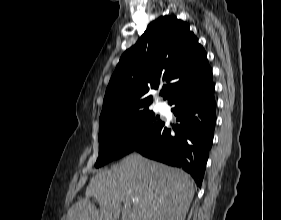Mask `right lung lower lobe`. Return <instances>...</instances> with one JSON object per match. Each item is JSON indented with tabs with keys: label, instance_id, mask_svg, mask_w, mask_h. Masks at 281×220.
Listing matches in <instances>:
<instances>
[{
	"label": "right lung lower lobe",
	"instance_id": "right-lung-lower-lobe-1",
	"mask_svg": "<svg viewBox=\"0 0 281 220\" xmlns=\"http://www.w3.org/2000/svg\"><path fill=\"white\" fill-rule=\"evenodd\" d=\"M214 83L183 92L169 104L173 109L178 129L175 133L164 122L160 129L134 151L145 157L188 172L201 187L209 150L213 143L216 121Z\"/></svg>",
	"mask_w": 281,
	"mask_h": 220
}]
</instances>
